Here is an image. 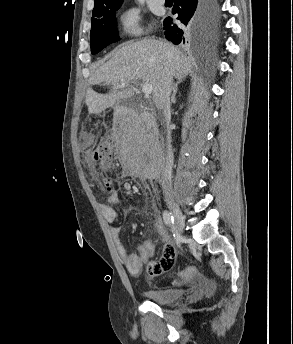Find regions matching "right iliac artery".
Returning <instances> with one entry per match:
<instances>
[{
	"mask_svg": "<svg viewBox=\"0 0 293 344\" xmlns=\"http://www.w3.org/2000/svg\"><path fill=\"white\" fill-rule=\"evenodd\" d=\"M163 220L165 224L168 226H171L174 223V218L172 214L166 210L163 212Z\"/></svg>",
	"mask_w": 293,
	"mask_h": 344,
	"instance_id": "82829eb1",
	"label": "right iliac artery"
}]
</instances>
